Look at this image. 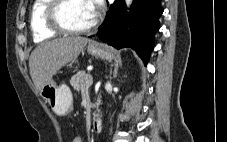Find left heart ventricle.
Returning <instances> with one entry per match:
<instances>
[{"label": "left heart ventricle", "instance_id": "1", "mask_svg": "<svg viewBox=\"0 0 227 142\" xmlns=\"http://www.w3.org/2000/svg\"><path fill=\"white\" fill-rule=\"evenodd\" d=\"M64 23L73 28H80L90 24L95 16L87 0H69L62 12Z\"/></svg>", "mask_w": 227, "mask_h": 142}]
</instances>
